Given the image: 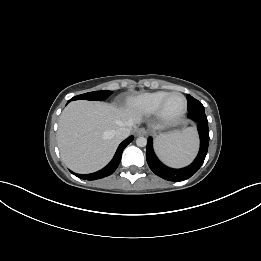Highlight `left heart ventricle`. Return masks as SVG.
<instances>
[{"label": "left heart ventricle", "mask_w": 261, "mask_h": 261, "mask_svg": "<svg viewBox=\"0 0 261 261\" xmlns=\"http://www.w3.org/2000/svg\"><path fill=\"white\" fill-rule=\"evenodd\" d=\"M184 105V100L180 95L171 96L165 105V112L168 115H176L178 114Z\"/></svg>", "instance_id": "b2bd125f"}]
</instances>
